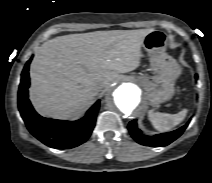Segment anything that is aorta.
<instances>
[{"label":"aorta","mask_w":212,"mask_h":183,"mask_svg":"<svg viewBox=\"0 0 212 183\" xmlns=\"http://www.w3.org/2000/svg\"><path fill=\"white\" fill-rule=\"evenodd\" d=\"M140 88L133 83H122L108 97L120 112L130 115L140 103Z\"/></svg>","instance_id":"aorta-1"}]
</instances>
